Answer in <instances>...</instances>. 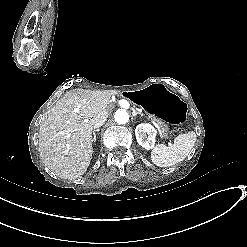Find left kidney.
<instances>
[{"mask_svg": "<svg viewBox=\"0 0 247 247\" xmlns=\"http://www.w3.org/2000/svg\"><path fill=\"white\" fill-rule=\"evenodd\" d=\"M156 133V129L149 123H141L137 125L135 129L137 143L146 150L154 148Z\"/></svg>", "mask_w": 247, "mask_h": 247, "instance_id": "left-kidney-1", "label": "left kidney"}]
</instances>
